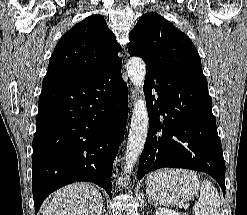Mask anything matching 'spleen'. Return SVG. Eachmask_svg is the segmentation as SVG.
I'll return each mask as SVG.
<instances>
[{
    "label": "spleen",
    "instance_id": "spleen-1",
    "mask_svg": "<svg viewBox=\"0 0 247 215\" xmlns=\"http://www.w3.org/2000/svg\"><path fill=\"white\" fill-rule=\"evenodd\" d=\"M195 215H220V197L210 181L203 182L200 198L194 206Z\"/></svg>",
    "mask_w": 247,
    "mask_h": 215
}]
</instances>
